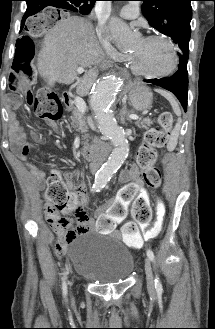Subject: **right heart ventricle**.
<instances>
[{"label":"right heart ventricle","mask_w":215,"mask_h":329,"mask_svg":"<svg viewBox=\"0 0 215 329\" xmlns=\"http://www.w3.org/2000/svg\"><path fill=\"white\" fill-rule=\"evenodd\" d=\"M124 59H125L127 62H129V57H124Z\"/></svg>","instance_id":"obj_1"}]
</instances>
